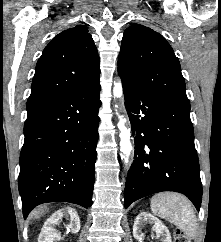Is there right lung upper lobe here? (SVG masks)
<instances>
[{"mask_svg":"<svg viewBox=\"0 0 221 242\" xmlns=\"http://www.w3.org/2000/svg\"><path fill=\"white\" fill-rule=\"evenodd\" d=\"M100 74V61L88 28L78 25L56 35L39 58L27 105L54 99Z\"/></svg>","mask_w":221,"mask_h":242,"instance_id":"right-lung-upper-lobe-1","label":"right lung upper lobe"}]
</instances>
